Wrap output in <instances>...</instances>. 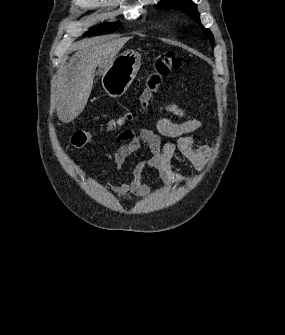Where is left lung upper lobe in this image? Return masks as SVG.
<instances>
[{"label": "left lung upper lobe", "mask_w": 285, "mask_h": 335, "mask_svg": "<svg viewBox=\"0 0 285 335\" xmlns=\"http://www.w3.org/2000/svg\"><path fill=\"white\" fill-rule=\"evenodd\" d=\"M156 7L164 9H176L187 13L191 19L198 22L199 26L207 34L213 46L214 43L213 35L209 29H206L201 25L199 20V13L197 11V5L193 3L191 0H162L158 5H156Z\"/></svg>", "instance_id": "1"}]
</instances>
